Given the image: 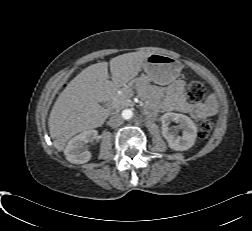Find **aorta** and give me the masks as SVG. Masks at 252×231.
I'll return each mask as SVG.
<instances>
[{"label": "aorta", "mask_w": 252, "mask_h": 231, "mask_svg": "<svg viewBox=\"0 0 252 231\" xmlns=\"http://www.w3.org/2000/svg\"><path fill=\"white\" fill-rule=\"evenodd\" d=\"M133 116H134V112L132 109H125L122 111V117L125 120H130L133 118Z\"/></svg>", "instance_id": "obj_1"}]
</instances>
